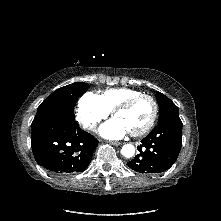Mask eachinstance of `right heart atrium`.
Returning <instances> with one entry per match:
<instances>
[{"instance_id":"right-heart-atrium-1","label":"right heart atrium","mask_w":221,"mask_h":221,"mask_svg":"<svg viewBox=\"0 0 221 221\" xmlns=\"http://www.w3.org/2000/svg\"><path fill=\"white\" fill-rule=\"evenodd\" d=\"M110 110L105 106L100 95L93 92L84 93L77 104L76 118L86 130L93 131L101 120L106 119Z\"/></svg>"}]
</instances>
